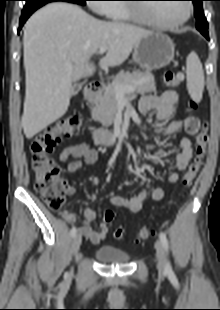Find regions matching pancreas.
Instances as JSON below:
<instances>
[{
	"label": "pancreas",
	"mask_w": 220,
	"mask_h": 310,
	"mask_svg": "<svg viewBox=\"0 0 220 310\" xmlns=\"http://www.w3.org/2000/svg\"><path fill=\"white\" fill-rule=\"evenodd\" d=\"M132 86V93L145 94L155 91V79L149 71H134L132 73H120L117 77L105 87L103 94L95 101L91 110L92 118L102 123L104 127L112 125L118 110V99L115 93V86ZM131 93H126L130 95Z\"/></svg>",
	"instance_id": "cf45deb5"
}]
</instances>
